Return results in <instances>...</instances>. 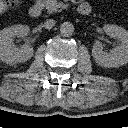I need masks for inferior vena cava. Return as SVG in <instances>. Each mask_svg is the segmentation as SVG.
Here are the masks:
<instances>
[{
    "label": "inferior vena cava",
    "instance_id": "inferior-vena-cava-1",
    "mask_svg": "<svg viewBox=\"0 0 128 128\" xmlns=\"http://www.w3.org/2000/svg\"><path fill=\"white\" fill-rule=\"evenodd\" d=\"M55 20L53 19H47L45 22H44V27L46 29H51L54 25H55Z\"/></svg>",
    "mask_w": 128,
    "mask_h": 128
}]
</instances>
